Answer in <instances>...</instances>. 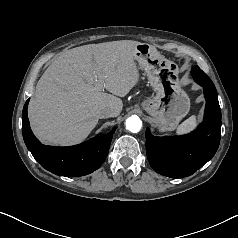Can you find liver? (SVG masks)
I'll list each match as a JSON object with an SVG mask.
<instances>
[{
    "mask_svg": "<svg viewBox=\"0 0 238 238\" xmlns=\"http://www.w3.org/2000/svg\"><path fill=\"white\" fill-rule=\"evenodd\" d=\"M140 42L120 40L70 49L45 70L31 98L28 115L36 137L46 144L73 145L96 127L98 111L108 107L112 117L139 81L134 47ZM102 84L110 93L102 92Z\"/></svg>",
    "mask_w": 238,
    "mask_h": 238,
    "instance_id": "obj_1",
    "label": "liver"
}]
</instances>
